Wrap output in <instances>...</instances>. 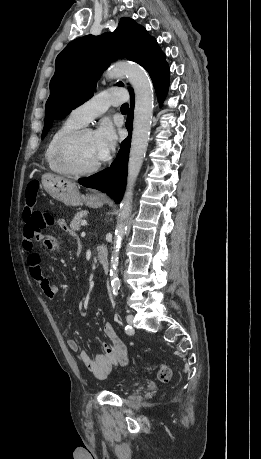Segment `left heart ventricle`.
<instances>
[{"mask_svg":"<svg viewBox=\"0 0 261 459\" xmlns=\"http://www.w3.org/2000/svg\"><path fill=\"white\" fill-rule=\"evenodd\" d=\"M73 160L76 166L82 169H88L100 163L93 133L84 134L78 140L73 150Z\"/></svg>","mask_w":261,"mask_h":459,"instance_id":"left-heart-ventricle-1","label":"left heart ventricle"}]
</instances>
